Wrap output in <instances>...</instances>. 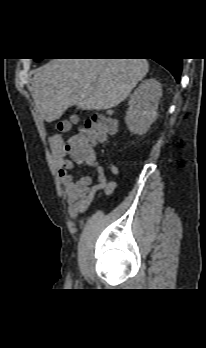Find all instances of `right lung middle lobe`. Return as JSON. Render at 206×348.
I'll return each mask as SVG.
<instances>
[{"label":"right lung middle lobe","mask_w":206,"mask_h":348,"mask_svg":"<svg viewBox=\"0 0 206 348\" xmlns=\"http://www.w3.org/2000/svg\"><path fill=\"white\" fill-rule=\"evenodd\" d=\"M35 61H39V60H41V59H34Z\"/></svg>","instance_id":"1"}]
</instances>
